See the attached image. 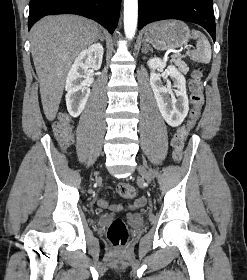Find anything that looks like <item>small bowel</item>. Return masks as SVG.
<instances>
[{
    "label": "small bowel",
    "instance_id": "c3829d8e",
    "mask_svg": "<svg viewBox=\"0 0 247 280\" xmlns=\"http://www.w3.org/2000/svg\"><path fill=\"white\" fill-rule=\"evenodd\" d=\"M101 201H104V204H101ZM145 203H146V199L144 197H140L135 202H133L131 204H128L126 206V208H128V209H138V208L144 206ZM98 205L102 208H107V207H109V202L105 199H99L98 200ZM123 208H124V206H122V205H113L112 206V209L117 210V211L121 210Z\"/></svg>",
    "mask_w": 247,
    "mask_h": 280
}]
</instances>
